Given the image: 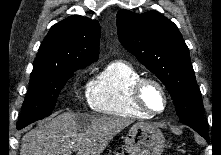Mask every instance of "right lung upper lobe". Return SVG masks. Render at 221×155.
Returning <instances> with one entry per match:
<instances>
[{"instance_id": "1", "label": "right lung upper lobe", "mask_w": 221, "mask_h": 155, "mask_svg": "<svg viewBox=\"0 0 221 155\" xmlns=\"http://www.w3.org/2000/svg\"><path fill=\"white\" fill-rule=\"evenodd\" d=\"M100 25L82 16H71L53 25L41 43L34 65L77 66L98 59Z\"/></svg>"}]
</instances>
